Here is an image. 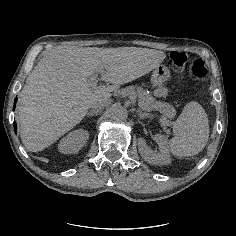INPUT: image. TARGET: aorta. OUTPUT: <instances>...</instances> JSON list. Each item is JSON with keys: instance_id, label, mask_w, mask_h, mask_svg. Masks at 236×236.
Wrapping results in <instances>:
<instances>
[{"instance_id": "aorta-1", "label": "aorta", "mask_w": 236, "mask_h": 236, "mask_svg": "<svg viewBox=\"0 0 236 236\" xmlns=\"http://www.w3.org/2000/svg\"><path fill=\"white\" fill-rule=\"evenodd\" d=\"M111 115L115 120H125L128 117V111L124 106L114 105L111 109Z\"/></svg>"}]
</instances>
